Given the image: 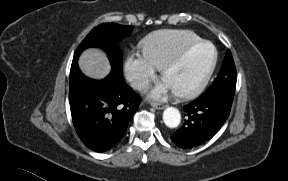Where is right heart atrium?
Wrapping results in <instances>:
<instances>
[{"instance_id":"1","label":"right heart atrium","mask_w":288,"mask_h":181,"mask_svg":"<svg viewBox=\"0 0 288 181\" xmlns=\"http://www.w3.org/2000/svg\"><path fill=\"white\" fill-rule=\"evenodd\" d=\"M157 67L144 55L143 51L132 50L127 53L124 71L131 85L144 90L155 77Z\"/></svg>"}]
</instances>
